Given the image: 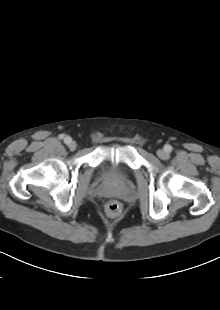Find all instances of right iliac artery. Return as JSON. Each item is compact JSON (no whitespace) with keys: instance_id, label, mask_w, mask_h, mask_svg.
I'll return each mask as SVG.
<instances>
[{"instance_id":"obj_1","label":"right iliac artery","mask_w":220,"mask_h":310,"mask_svg":"<svg viewBox=\"0 0 220 310\" xmlns=\"http://www.w3.org/2000/svg\"><path fill=\"white\" fill-rule=\"evenodd\" d=\"M64 142H65L66 144H69V143L71 142V137L66 136V137L64 138Z\"/></svg>"}]
</instances>
